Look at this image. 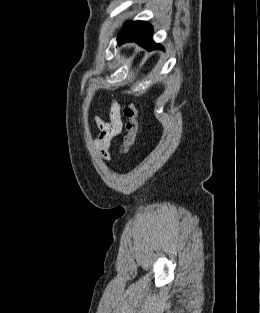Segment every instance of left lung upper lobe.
<instances>
[{"label": "left lung upper lobe", "instance_id": "left-lung-upper-lobe-1", "mask_svg": "<svg viewBox=\"0 0 260 313\" xmlns=\"http://www.w3.org/2000/svg\"><path fill=\"white\" fill-rule=\"evenodd\" d=\"M135 22H127L124 27H123V30L118 34V38L117 40H119L123 34L130 28V26H132Z\"/></svg>", "mask_w": 260, "mask_h": 313}]
</instances>
